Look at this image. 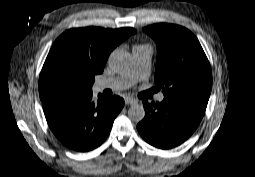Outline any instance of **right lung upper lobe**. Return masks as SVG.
Returning <instances> with one entry per match:
<instances>
[{"mask_svg": "<svg viewBox=\"0 0 255 177\" xmlns=\"http://www.w3.org/2000/svg\"><path fill=\"white\" fill-rule=\"evenodd\" d=\"M134 33L136 30L133 28L70 29L56 39L47 57L63 51L69 54L77 64L86 67L94 74H100L111 51Z\"/></svg>", "mask_w": 255, "mask_h": 177, "instance_id": "right-lung-upper-lobe-1", "label": "right lung upper lobe"}]
</instances>
